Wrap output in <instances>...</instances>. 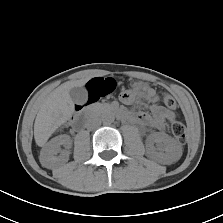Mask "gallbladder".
I'll return each mask as SVG.
<instances>
[{
	"label": "gallbladder",
	"instance_id": "bac80fb5",
	"mask_svg": "<svg viewBox=\"0 0 223 223\" xmlns=\"http://www.w3.org/2000/svg\"><path fill=\"white\" fill-rule=\"evenodd\" d=\"M69 93L75 103H85L88 98V92L84 87H73Z\"/></svg>",
	"mask_w": 223,
	"mask_h": 223
}]
</instances>
